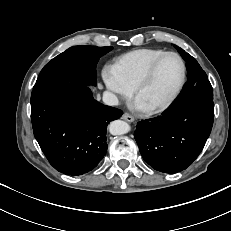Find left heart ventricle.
<instances>
[{"instance_id":"b2bd125f","label":"left heart ventricle","mask_w":231,"mask_h":231,"mask_svg":"<svg viewBox=\"0 0 231 231\" xmlns=\"http://www.w3.org/2000/svg\"><path fill=\"white\" fill-rule=\"evenodd\" d=\"M181 77L180 61L166 57L157 67L150 82L142 89L137 98L147 108L165 100L177 87Z\"/></svg>"}]
</instances>
